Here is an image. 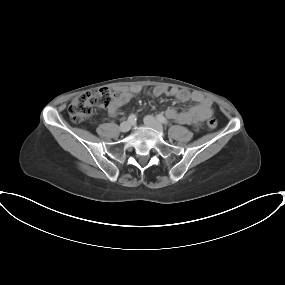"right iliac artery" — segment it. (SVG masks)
<instances>
[{
  "instance_id": "82829eb1",
  "label": "right iliac artery",
  "mask_w": 285,
  "mask_h": 285,
  "mask_svg": "<svg viewBox=\"0 0 285 285\" xmlns=\"http://www.w3.org/2000/svg\"><path fill=\"white\" fill-rule=\"evenodd\" d=\"M136 120H137V118H136V115H134V114H131V115L128 117V121H129L130 123H134Z\"/></svg>"
}]
</instances>
